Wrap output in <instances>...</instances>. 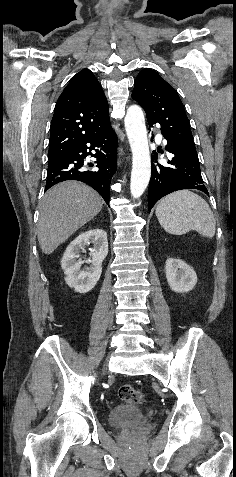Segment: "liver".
Returning a JSON list of instances; mask_svg holds the SVG:
<instances>
[{
    "label": "liver",
    "instance_id": "1",
    "mask_svg": "<svg viewBox=\"0 0 236 477\" xmlns=\"http://www.w3.org/2000/svg\"><path fill=\"white\" fill-rule=\"evenodd\" d=\"M102 206L100 195L80 182L66 181L49 189L39 205L37 237L42 252L51 254L93 219Z\"/></svg>",
    "mask_w": 236,
    "mask_h": 477
}]
</instances>
